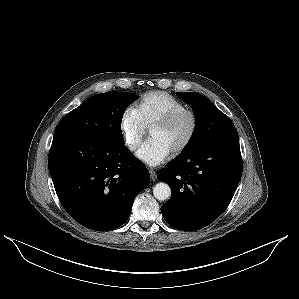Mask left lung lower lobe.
Segmentation results:
<instances>
[{
	"label": "left lung lower lobe",
	"mask_w": 299,
	"mask_h": 299,
	"mask_svg": "<svg viewBox=\"0 0 299 299\" xmlns=\"http://www.w3.org/2000/svg\"><path fill=\"white\" fill-rule=\"evenodd\" d=\"M237 130L230 131L190 155L178 156L157 178L172 188L162 205L165 221L186 231L202 229L227 208L242 175Z\"/></svg>",
	"instance_id": "0a47b994"
}]
</instances>
